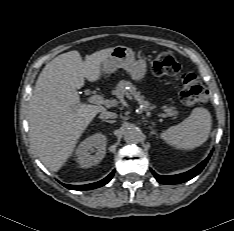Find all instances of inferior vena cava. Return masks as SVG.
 Segmentation results:
<instances>
[{"instance_id":"1","label":"inferior vena cava","mask_w":234,"mask_h":231,"mask_svg":"<svg viewBox=\"0 0 234 231\" xmlns=\"http://www.w3.org/2000/svg\"><path fill=\"white\" fill-rule=\"evenodd\" d=\"M101 119H104V118H111V119H114V118H117V114L114 113V112H109V111H103L101 112L100 116H99Z\"/></svg>"}]
</instances>
